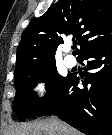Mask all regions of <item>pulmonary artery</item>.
Returning a JSON list of instances; mask_svg holds the SVG:
<instances>
[{"instance_id": "e3ab8cb5", "label": "pulmonary artery", "mask_w": 112, "mask_h": 135, "mask_svg": "<svg viewBox=\"0 0 112 135\" xmlns=\"http://www.w3.org/2000/svg\"><path fill=\"white\" fill-rule=\"evenodd\" d=\"M66 52H68V50H66ZM64 62L68 67H73L76 64V60L71 56L65 57Z\"/></svg>"}]
</instances>
